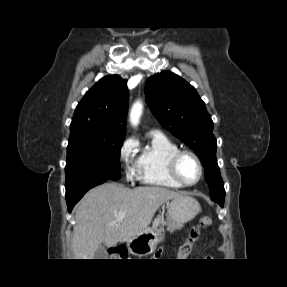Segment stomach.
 <instances>
[{
    "label": "stomach",
    "mask_w": 287,
    "mask_h": 287,
    "mask_svg": "<svg viewBox=\"0 0 287 287\" xmlns=\"http://www.w3.org/2000/svg\"><path fill=\"white\" fill-rule=\"evenodd\" d=\"M167 230L173 232L181 229L184 224L191 221L200 212V205L196 199L181 195L167 204ZM162 230L147 228L139 235L127 241L131 254L145 256L151 254L157 244L163 240Z\"/></svg>",
    "instance_id": "0dacf381"
}]
</instances>
